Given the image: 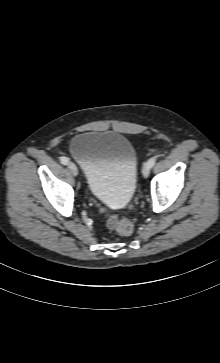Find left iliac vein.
<instances>
[{"label":"left iliac vein","mask_w":220,"mask_h":363,"mask_svg":"<svg viewBox=\"0 0 220 363\" xmlns=\"http://www.w3.org/2000/svg\"><path fill=\"white\" fill-rule=\"evenodd\" d=\"M142 174H143V176H144L145 178H147V177L149 176V174H150V167L148 166V164H147V163H145V164L143 165V168H142Z\"/></svg>","instance_id":"left-iliac-vein-1"}]
</instances>
